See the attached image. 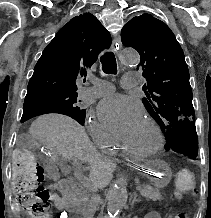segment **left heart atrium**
Masks as SVG:
<instances>
[{"label": "left heart atrium", "mask_w": 211, "mask_h": 218, "mask_svg": "<svg viewBox=\"0 0 211 218\" xmlns=\"http://www.w3.org/2000/svg\"><path fill=\"white\" fill-rule=\"evenodd\" d=\"M104 127L118 139H125L144 121V110L134 95L112 94L98 105Z\"/></svg>", "instance_id": "obj_1"}]
</instances>
